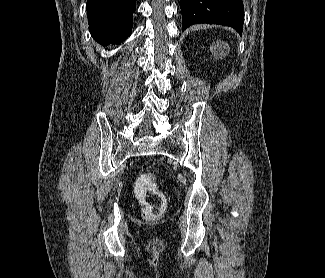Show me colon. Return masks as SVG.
I'll return each instance as SVG.
<instances>
[{
	"label": "colon",
	"instance_id": "colon-1",
	"mask_svg": "<svg viewBox=\"0 0 325 278\" xmlns=\"http://www.w3.org/2000/svg\"><path fill=\"white\" fill-rule=\"evenodd\" d=\"M135 193L144 205L143 216L148 221L159 219L165 208V195L159 190L151 174H142L134 182Z\"/></svg>",
	"mask_w": 325,
	"mask_h": 278
}]
</instances>
